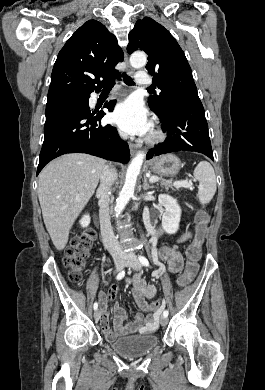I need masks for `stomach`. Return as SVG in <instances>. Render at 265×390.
<instances>
[{
  "label": "stomach",
  "mask_w": 265,
  "mask_h": 390,
  "mask_svg": "<svg viewBox=\"0 0 265 390\" xmlns=\"http://www.w3.org/2000/svg\"><path fill=\"white\" fill-rule=\"evenodd\" d=\"M149 166L150 170L156 174L172 177L178 174L182 164L174 154H166L151 160Z\"/></svg>",
  "instance_id": "obj_1"
}]
</instances>
